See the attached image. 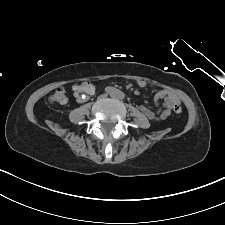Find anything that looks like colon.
<instances>
[{
	"instance_id": "colon-1",
	"label": "colon",
	"mask_w": 225,
	"mask_h": 225,
	"mask_svg": "<svg viewBox=\"0 0 225 225\" xmlns=\"http://www.w3.org/2000/svg\"><path fill=\"white\" fill-rule=\"evenodd\" d=\"M93 89V85L91 83H83L74 87L75 93L80 92H89ZM48 102L51 104H59L64 105L68 102V98L66 95V88L63 86L57 87L52 93L49 94L47 98ZM174 112L176 114L182 113V107L180 105H176L174 107Z\"/></svg>"
}]
</instances>
